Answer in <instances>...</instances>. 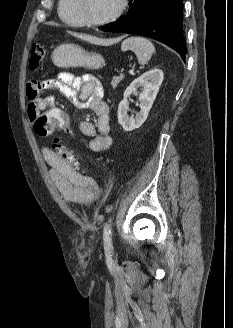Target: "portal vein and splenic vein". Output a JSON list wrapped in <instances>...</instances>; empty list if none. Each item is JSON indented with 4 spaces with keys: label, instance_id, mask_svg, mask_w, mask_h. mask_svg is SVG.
<instances>
[{
    "label": "portal vein and splenic vein",
    "instance_id": "obj_1",
    "mask_svg": "<svg viewBox=\"0 0 233 328\" xmlns=\"http://www.w3.org/2000/svg\"><path fill=\"white\" fill-rule=\"evenodd\" d=\"M129 73L132 74V75H134V71L133 70H130Z\"/></svg>",
    "mask_w": 233,
    "mask_h": 328
}]
</instances>
